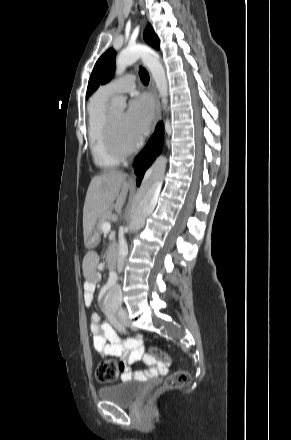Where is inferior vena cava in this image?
Returning a JSON list of instances; mask_svg holds the SVG:
<instances>
[{
  "label": "inferior vena cava",
  "instance_id": "obj_1",
  "mask_svg": "<svg viewBox=\"0 0 291 440\" xmlns=\"http://www.w3.org/2000/svg\"><path fill=\"white\" fill-rule=\"evenodd\" d=\"M127 251V244L124 240V238L121 236L119 238V253H118V259H117V269L118 272H121L124 267V253Z\"/></svg>",
  "mask_w": 291,
  "mask_h": 440
}]
</instances>
